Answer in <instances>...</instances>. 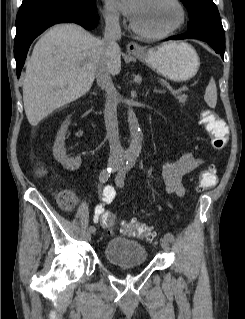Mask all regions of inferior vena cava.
Returning <instances> with one entry per match:
<instances>
[{
    "instance_id": "602c4592",
    "label": "inferior vena cava",
    "mask_w": 245,
    "mask_h": 319,
    "mask_svg": "<svg viewBox=\"0 0 245 319\" xmlns=\"http://www.w3.org/2000/svg\"><path fill=\"white\" fill-rule=\"evenodd\" d=\"M105 32L101 45L105 59L97 68L95 74L98 85L106 91V104L104 108V120L107 131V139L110 145L109 161L123 163L124 153L119 139L117 123L115 89L110 76L108 62L120 53L117 40L121 38L119 15L115 12H108L105 15Z\"/></svg>"
}]
</instances>
